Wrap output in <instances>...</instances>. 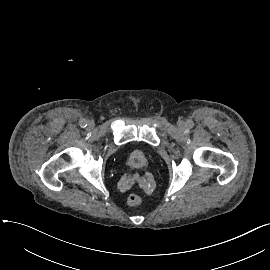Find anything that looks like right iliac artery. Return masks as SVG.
<instances>
[{
    "label": "right iliac artery",
    "instance_id": "right-iliac-artery-1",
    "mask_svg": "<svg viewBox=\"0 0 270 270\" xmlns=\"http://www.w3.org/2000/svg\"><path fill=\"white\" fill-rule=\"evenodd\" d=\"M79 124H80V126H81L82 128H85V127L87 126V121L84 120V119H82V120L79 122Z\"/></svg>",
    "mask_w": 270,
    "mask_h": 270
}]
</instances>
